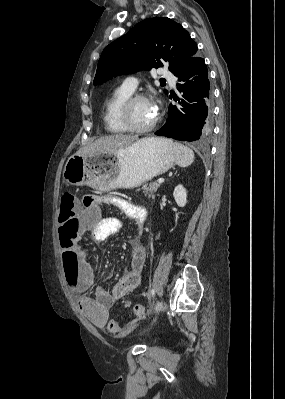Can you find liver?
Returning <instances> with one entry per match:
<instances>
[{
  "mask_svg": "<svg viewBox=\"0 0 285 399\" xmlns=\"http://www.w3.org/2000/svg\"><path fill=\"white\" fill-rule=\"evenodd\" d=\"M137 140H138L137 136L123 135V134L100 137L94 142L82 147L77 152V154L90 155L96 152L116 153L122 149L127 148Z\"/></svg>",
  "mask_w": 285,
  "mask_h": 399,
  "instance_id": "6515ba94",
  "label": "liver"
}]
</instances>
